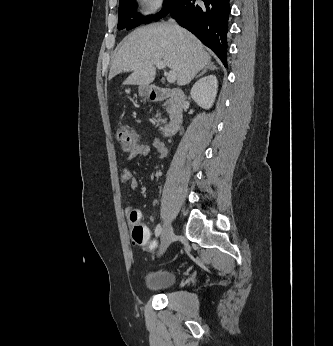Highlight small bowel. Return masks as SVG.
Listing matches in <instances>:
<instances>
[{"label":"small bowel","instance_id":"small-bowel-1","mask_svg":"<svg viewBox=\"0 0 333 346\" xmlns=\"http://www.w3.org/2000/svg\"><path fill=\"white\" fill-rule=\"evenodd\" d=\"M155 148L158 157L163 159L167 156L168 150L166 145L159 139L155 138L152 140L151 144H139L133 151L128 155V160L135 158L146 157L150 154L151 148ZM121 179L123 182H127L131 185L132 188H137L138 183L134 178L132 171L129 168H125L121 174ZM131 209H127V213L130 214ZM144 245V244H143ZM139 249L142 247L140 244L137 246ZM146 250H151L149 247H145Z\"/></svg>","mask_w":333,"mask_h":346}]
</instances>
